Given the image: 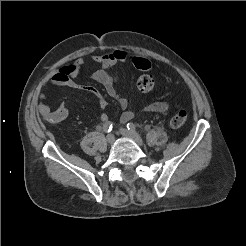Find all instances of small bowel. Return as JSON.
I'll return each instance as SVG.
<instances>
[{
  "mask_svg": "<svg viewBox=\"0 0 246 246\" xmlns=\"http://www.w3.org/2000/svg\"><path fill=\"white\" fill-rule=\"evenodd\" d=\"M128 58V53L124 50H115L113 52L103 54V55H92L91 59L95 63L101 66L100 69L96 70L92 77L93 79L101 84L107 94L115 99L120 107L122 108V113L120 116V120L125 123L131 120L135 113L128 108L129 102L125 97H122L116 87V78L109 73V70L114 67L116 64L125 62ZM84 64L83 59H77L73 63L59 68L52 72L43 82L42 91L39 94V102L37 105L38 112L42 115V117L49 123H60L65 120L68 116V109L65 105H60L56 108H52L49 104H47L44 100L46 95L43 89L47 85L54 86H67L74 89L84 90L90 92L97 99L99 107L102 109L101 120L104 122L108 121V115L105 112L108 102L105 97L97 90L95 87L90 85H81L75 81V78L78 76L82 65ZM168 106L165 102H154L149 104L144 108V112L147 113H163L167 110Z\"/></svg>",
  "mask_w": 246,
  "mask_h": 246,
  "instance_id": "1",
  "label": "small bowel"
}]
</instances>
